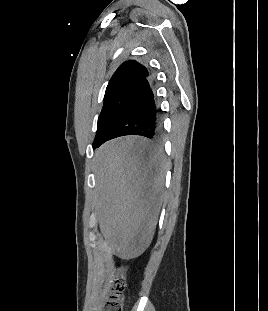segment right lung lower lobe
Here are the masks:
<instances>
[{"label":"right lung lower lobe","mask_w":268,"mask_h":311,"mask_svg":"<svg viewBox=\"0 0 268 311\" xmlns=\"http://www.w3.org/2000/svg\"><path fill=\"white\" fill-rule=\"evenodd\" d=\"M149 74L135 85V89L93 149L105 141L124 135H141L156 140L161 135V110L153 93Z\"/></svg>","instance_id":"1"}]
</instances>
